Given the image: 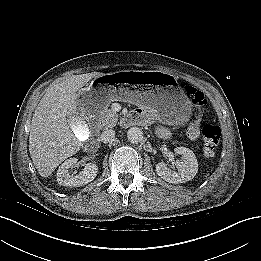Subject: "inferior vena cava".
Listing matches in <instances>:
<instances>
[{
  "mask_svg": "<svg viewBox=\"0 0 261 261\" xmlns=\"http://www.w3.org/2000/svg\"><path fill=\"white\" fill-rule=\"evenodd\" d=\"M114 137H115V131L113 129H108L102 132V134L100 135V140L103 143H107L112 141Z\"/></svg>",
  "mask_w": 261,
  "mask_h": 261,
  "instance_id": "inferior-vena-cava-1",
  "label": "inferior vena cava"
}]
</instances>
